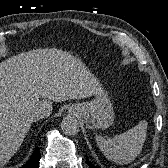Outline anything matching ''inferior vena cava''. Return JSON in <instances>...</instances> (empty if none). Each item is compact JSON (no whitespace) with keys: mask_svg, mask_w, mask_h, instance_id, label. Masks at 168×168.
Returning a JSON list of instances; mask_svg holds the SVG:
<instances>
[{"mask_svg":"<svg viewBox=\"0 0 168 168\" xmlns=\"http://www.w3.org/2000/svg\"><path fill=\"white\" fill-rule=\"evenodd\" d=\"M50 110L46 106H38L29 111V118L37 121L50 115Z\"/></svg>","mask_w":168,"mask_h":168,"instance_id":"inferior-vena-cava-1","label":"inferior vena cava"}]
</instances>
